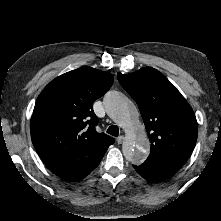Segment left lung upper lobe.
<instances>
[{"label":"left lung upper lobe","instance_id":"obj_1","mask_svg":"<svg viewBox=\"0 0 221 221\" xmlns=\"http://www.w3.org/2000/svg\"><path fill=\"white\" fill-rule=\"evenodd\" d=\"M121 86L135 100L149 140L150 155L144 164L177 172L196 144L198 125L191 106L158 70L145 67L117 74Z\"/></svg>","mask_w":221,"mask_h":221}]
</instances>
